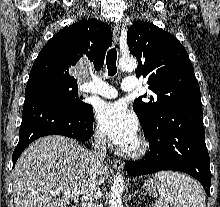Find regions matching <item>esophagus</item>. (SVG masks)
Returning a JSON list of instances; mask_svg holds the SVG:
<instances>
[{
    "mask_svg": "<svg viewBox=\"0 0 220 207\" xmlns=\"http://www.w3.org/2000/svg\"><path fill=\"white\" fill-rule=\"evenodd\" d=\"M119 35H120V26L116 23L113 27V40L115 44L119 42ZM113 166L117 170L123 169V162L120 159L115 158L113 160Z\"/></svg>",
    "mask_w": 220,
    "mask_h": 207,
    "instance_id": "esophagus-1",
    "label": "esophagus"
}]
</instances>
